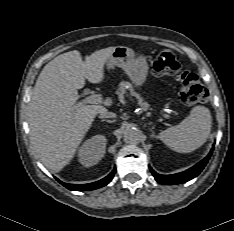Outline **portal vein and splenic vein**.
<instances>
[{
  "mask_svg": "<svg viewBox=\"0 0 234 231\" xmlns=\"http://www.w3.org/2000/svg\"><path fill=\"white\" fill-rule=\"evenodd\" d=\"M82 103H90V104H101L103 103V98L100 95L92 94L86 97ZM165 118H170L169 115H164Z\"/></svg>",
  "mask_w": 234,
  "mask_h": 231,
  "instance_id": "obj_1",
  "label": "portal vein and splenic vein"
}]
</instances>
